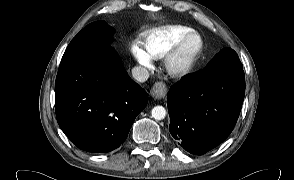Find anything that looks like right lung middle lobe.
<instances>
[{
  "label": "right lung middle lobe",
  "instance_id": "obj_1",
  "mask_svg": "<svg viewBox=\"0 0 294 180\" xmlns=\"http://www.w3.org/2000/svg\"><path fill=\"white\" fill-rule=\"evenodd\" d=\"M114 33V28L105 21L91 23L72 39L62 59L84 51L109 47L108 44L112 40Z\"/></svg>",
  "mask_w": 294,
  "mask_h": 180
}]
</instances>
